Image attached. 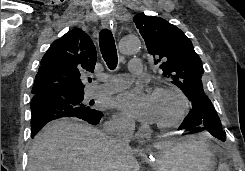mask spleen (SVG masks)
<instances>
[{
    "mask_svg": "<svg viewBox=\"0 0 245 171\" xmlns=\"http://www.w3.org/2000/svg\"><path fill=\"white\" fill-rule=\"evenodd\" d=\"M217 171H230L229 167L226 164H219Z\"/></svg>",
    "mask_w": 245,
    "mask_h": 171,
    "instance_id": "3e777b00",
    "label": "spleen"
}]
</instances>
